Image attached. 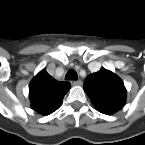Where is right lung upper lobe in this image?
<instances>
[{
	"instance_id": "cb5924a9",
	"label": "right lung upper lobe",
	"mask_w": 145,
	"mask_h": 145,
	"mask_svg": "<svg viewBox=\"0 0 145 145\" xmlns=\"http://www.w3.org/2000/svg\"><path fill=\"white\" fill-rule=\"evenodd\" d=\"M70 87L69 82H58L46 69L41 70L29 85L32 107L43 115L51 114L60 105Z\"/></svg>"
}]
</instances>
